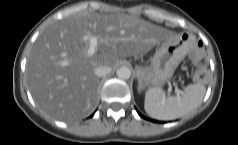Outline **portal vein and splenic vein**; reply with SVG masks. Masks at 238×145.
I'll return each mask as SVG.
<instances>
[{
    "label": "portal vein and splenic vein",
    "mask_w": 238,
    "mask_h": 145,
    "mask_svg": "<svg viewBox=\"0 0 238 145\" xmlns=\"http://www.w3.org/2000/svg\"><path fill=\"white\" fill-rule=\"evenodd\" d=\"M86 39L89 40V43H90V46L88 48V51H87V54L89 56H92L95 52H96V49H97V46H98V40L96 37L94 36H89V37H86ZM171 90V86L169 87V90L168 92ZM175 92L177 94H181L183 93L181 90H179L177 87H175Z\"/></svg>",
    "instance_id": "portal-vein-and-splenic-vein-1"
}]
</instances>
